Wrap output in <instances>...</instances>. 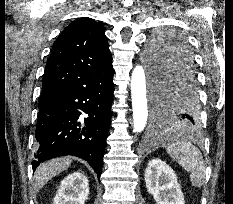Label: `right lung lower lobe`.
<instances>
[{
	"label": "right lung lower lobe",
	"mask_w": 233,
	"mask_h": 204,
	"mask_svg": "<svg viewBox=\"0 0 233 204\" xmlns=\"http://www.w3.org/2000/svg\"><path fill=\"white\" fill-rule=\"evenodd\" d=\"M113 67L91 73L71 87L41 97L39 108L56 119L40 135L33 170L46 160L73 155L86 160L100 178L113 103ZM81 112L89 116L80 121Z\"/></svg>",
	"instance_id": "1"
}]
</instances>
